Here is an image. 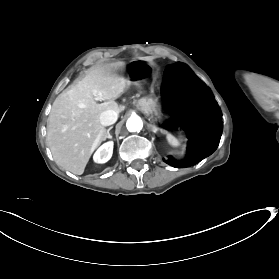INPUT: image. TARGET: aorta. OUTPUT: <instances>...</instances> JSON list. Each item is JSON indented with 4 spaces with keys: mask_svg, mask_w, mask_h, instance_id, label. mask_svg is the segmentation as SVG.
<instances>
[{
    "mask_svg": "<svg viewBox=\"0 0 279 279\" xmlns=\"http://www.w3.org/2000/svg\"><path fill=\"white\" fill-rule=\"evenodd\" d=\"M126 127L130 132H139L143 127V122L139 116H131L127 120Z\"/></svg>",
    "mask_w": 279,
    "mask_h": 279,
    "instance_id": "obj_1",
    "label": "aorta"
}]
</instances>
